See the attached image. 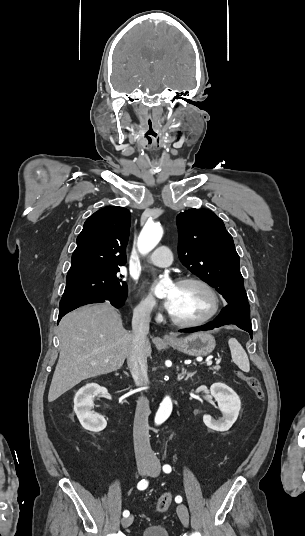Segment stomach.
<instances>
[{
  "mask_svg": "<svg viewBox=\"0 0 305 536\" xmlns=\"http://www.w3.org/2000/svg\"><path fill=\"white\" fill-rule=\"evenodd\" d=\"M174 350H179L188 356H207L213 352L216 342L209 332H196L186 338H176L167 342Z\"/></svg>",
  "mask_w": 305,
  "mask_h": 536,
  "instance_id": "obj_1",
  "label": "stomach"
}]
</instances>
